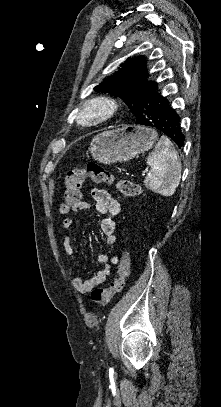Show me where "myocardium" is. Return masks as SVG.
<instances>
[{"mask_svg": "<svg viewBox=\"0 0 221 407\" xmlns=\"http://www.w3.org/2000/svg\"><path fill=\"white\" fill-rule=\"evenodd\" d=\"M118 108L111 95H98L86 99L76 110L75 121L83 127H92L109 119Z\"/></svg>", "mask_w": 221, "mask_h": 407, "instance_id": "myocardium-1", "label": "myocardium"}]
</instances>
